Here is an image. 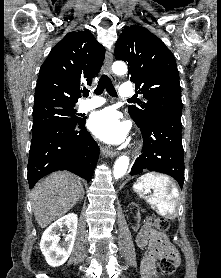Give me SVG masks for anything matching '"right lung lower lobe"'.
<instances>
[{
  "label": "right lung lower lobe",
  "instance_id": "1",
  "mask_svg": "<svg viewBox=\"0 0 221 278\" xmlns=\"http://www.w3.org/2000/svg\"><path fill=\"white\" fill-rule=\"evenodd\" d=\"M85 121L52 123L32 132L28 160L30 189L39 179L57 170H68L90 182L99 147L86 130Z\"/></svg>",
  "mask_w": 221,
  "mask_h": 278
}]
</instances>
